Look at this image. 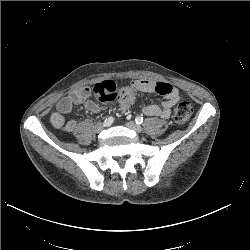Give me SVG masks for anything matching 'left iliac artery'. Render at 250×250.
<instances>
[{
  "mask_svg": "<svg viewBox=\"0 0 250 250\" xmlns=\"http://www.w3.org/2000/svg\"><path fill=\"white\" fill-rule=\"evenodd\" d=\"M135 122H136L137 124H142V123H143V117L137 116V117L135 118Z\"/></svg>",
  "mask_w": 250,
  "mask_h": 250,
  "instance_id": "left-iliac-artery-1",
  "label": "left iliac artery"
}]
</instances>
